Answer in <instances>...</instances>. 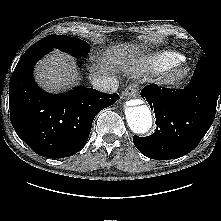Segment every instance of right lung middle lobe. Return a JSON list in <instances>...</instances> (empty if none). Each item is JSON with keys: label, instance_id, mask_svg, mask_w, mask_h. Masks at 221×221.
I'll list each match as a JSON object with an SVG mask.
<instances>
[{"label": "right lung middle lobe", "instance_id": "1", "mask_svg": "<svg viewBox=\"0 0 221 221\" xmlns=\"http://www.w3.org/2000/svg\"><path fill=\"white\" fill-rule=\"evenodd\" d=\"M38 42L48 44L75 57H83L89 51V44L87 42L66 35H50Z\"/></svg>", "mask_w": 221, "mask_h": 221}]
</instances>
